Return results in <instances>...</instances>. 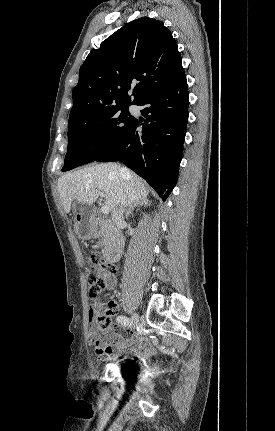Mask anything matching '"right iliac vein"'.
<instances>
[{
    "mask_svg": "<svg viewBox=\"0 0 275 431\" xmlns=\"http://www.w3.org/2000/svg\"><path fill=\"white\" fill-rule=\"evenodd\" d=\"M138 322H139V315L135 313L132 315L130 327L135 328L138 325Z\"/></svg>",
    "mask_w": 275,
    "mask_h": 431,
    "instance_id": "1",
    "label": "right iliac vein"
}]
</instances>
